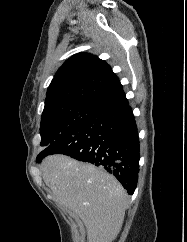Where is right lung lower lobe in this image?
<instances>
[{
	"mask_svg": "<svg viewBox=\"0 0 187 242\" xmlns=\"http://www.w3.org/2000/svg\"><path fill=\"white\" fill-rule=\"evenodd\" d=\"M51 154H65L104 168L132 195L138 181L140 154L137 126L126 97L55 140L37 156V161Z\"/></svg>",
	"mask_w": 187,
	"mask_h": 242,
	"instance_id": "obj_1",
	"label": "right lung lower lobe"
}]
</instances>
